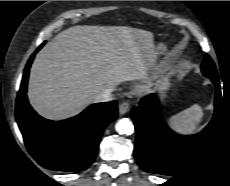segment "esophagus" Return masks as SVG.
I'll use <instances>...</instances> for the list:
<instances>
[{
  "label": "esophagus",
  "mask_w": 230,
  "mask_h": 186,
  "mask_svg": "<svg viewBox=\"0 0 230 186\" xmlns=\"http://www.w3.org/2000/svg\"><path fill=\"white\" fill-rule=\"evenodd\" d=\"M129 111V104L127 102H122L119 105V113L120 114H125Z\"/></svg>",
  "instance_id": "obj_1"
}]
</instances>
